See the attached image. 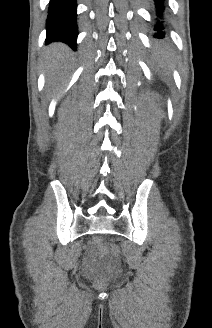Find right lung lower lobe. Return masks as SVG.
<instances>
[{
	"label": "right lung lower lobe",
	"mask_w": 212,
	"mask_h": 328,
	"mask_svg": "<svg viewBox=\"0 0 212 328\" xmlns=\"http://www.w3.org/2000/svg\"><path fill=\"white\" fill-rule=\"evenodd\" d=\"M76 16V0H50L46 41H62L75 50L78 35Z\"/></svg>",
	"instance_id": "right-lung-lower-lobe-1"
}]
</instances>
